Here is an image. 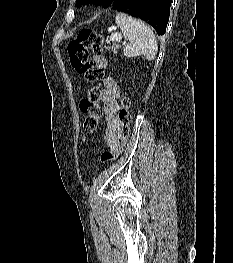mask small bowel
<instances>
[{"label": "small bowel", "instance_id": "c3829d8e", "mask_svg": "<svg viewBox=\"0 0 233 263\" xmlns=\"http://www.w3.org/2000/svg\"><path fill=\"white\" fill-rule=\"evenodd\" d=\"M94 64L105 69L107 66L106 59L101 54H96L93 58ZM120 97V88L114 77L108 76L103 80V87L99 91V98L104 103V115L107 128L104 133V144L109 152L118 149L122 142L121 123L117 116L119 110L118 98Z\"/></svg>", "mask_w": 233, "mask_h": 263}]
</instances>
